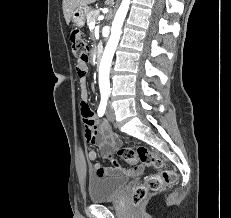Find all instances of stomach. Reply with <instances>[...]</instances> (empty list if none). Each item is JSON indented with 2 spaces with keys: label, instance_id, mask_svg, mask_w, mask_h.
Instances as JSON below:
<instances>
[{
  "label": "stomach",
  "instance_id": "stomach-1",
  "mask_svg": "<svg viewBox=\"0 0 231 218\" xmlns=\"http://www.w3.org/2000/svg\"><path fill=\"white\" fill-rule=\"evenodd\" d=\"M88 12H89L88 7H83V6L77 7L71 15V19L74 26L83 27Z\"/></svg>",
  "mask_w": 231,
  "mask_h": 218
}]
</instances>
